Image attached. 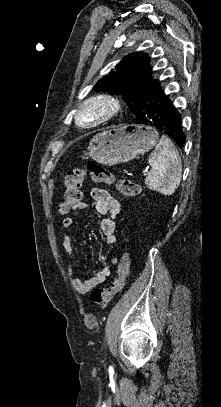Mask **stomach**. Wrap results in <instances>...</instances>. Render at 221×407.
I'll return each instance as SVG.
<instances>
[{"label": "stomach", "mask_w": 221, "mask_h": 407, "mask_svg": "<svg viewBox=\"0 0 221 407\" xmlns=\"http://www.w3.org/2000/svg\"><path fill=\"white\" fill-rule=\"evenodd\" d=\"M155 129L142 125H124L96 134L84 157L104 165L128 162L151 150L158 140Z\"/></svg>", "instance_id": "obj_1"}]
</instances>
